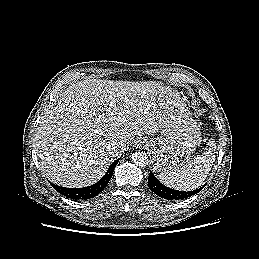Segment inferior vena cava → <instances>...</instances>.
I'll return each mask as SVG.
<instances>
[{"instance_id": "obj_1", "label": "inferior vena cava", "mask_w": 259, "mask_h": 259, "mask_svg": "<svg viewBox=\"0 0 259 259\" xmlns=\"http://www.w3.org/2000/svg\"><path fill=\"white\" fill-rule=\"evenodd\" d=\"M112 149H113V150H116V149H123V144L118 142V143L112 145Z\"/></svg>"}]
</instances>
